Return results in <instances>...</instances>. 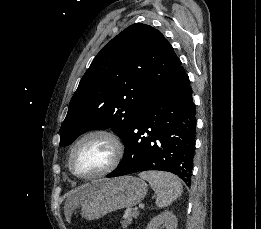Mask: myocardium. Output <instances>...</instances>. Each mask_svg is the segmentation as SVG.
Wrapping results in <instances>:
<instances>
[{
  "label": "myocardium",
  "mask_w": 261,
  "mask_h": 229,
  "mask_svg": "<svg viewBox=\"0 0 261 229\" xmlns=\"http://www.w3.org/2000/svg\"><path fill=\"white\" fill-rule=\"evenodd\" d=\"M102 138L106 140L109 145L112 148V158L110 163L102 170L92 173V174H84L79 172L78 170L75 169L73 165V156L76 151V149L85 141L92 139V138ZM124 154V148L122 145V142L120 138L112 131L107 130V129H96L89 131L82 135L71 147L70 154H69V159H68V166L70 171L77 177L82 178V179H92L96 177H100L103 175H106L113 170H115L118 165L120 164L122 157Z\"/></svg>",
  "instance_id": "myocardium-1"
}]
</instances>
